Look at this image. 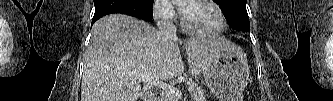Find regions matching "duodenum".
<instances>
[{"mask_svg": "<svg viewBox=\"0 0 333 101\" xmlns=\"http://www.w3.org/2000/svg\"><path fill=\"white\" fill-rule=\"evenodd\" d=\"M142 101H156V97L151 91H146L143 94Z\"/></svg>", "mask_w": 333, "mask_h": 101, "instance_id": "410a0bca", "label": "duodenum"}]
</instances>
